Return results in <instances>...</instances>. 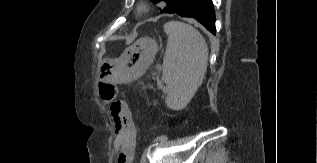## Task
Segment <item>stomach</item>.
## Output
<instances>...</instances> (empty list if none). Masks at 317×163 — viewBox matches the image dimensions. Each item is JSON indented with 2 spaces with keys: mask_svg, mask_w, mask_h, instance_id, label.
<instances>
[{
  "mask_svg": "<svg viewBox=\"0 0 317 163\" xmlns=\"http://www.w3.org/2000/svg\"><path fill=\"white\" fill-rule=\"evenodd\" d=\"M157 42L141 38L126 48L118 59H104L97 68L102 82H128L139 77L152 63L157 52Z\"/></svg>",
  "mask_w": 317,
  "mask_h": 163,
  "instance_id": "obj_1",
  "label": "stomach"
}]
</instances>
